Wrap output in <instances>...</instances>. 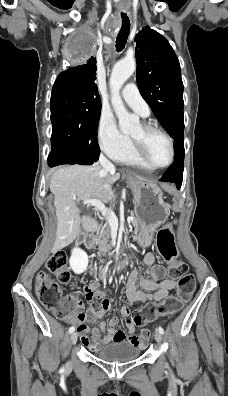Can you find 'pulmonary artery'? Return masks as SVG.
Returning a JSON list of instances; mask_svg holds the SVG:
<instances>
[{
    "label": "pulmonary artery",
    "instance_id": "obj_1",
    "mask_svg": "<svg viewBox=\"0 0 228 396\" xmlns=\"http://www.w3.org/2000/svg\"><path fill=\"white\" fill-rule=\"evenodd\" d=\"M121 95L124 101L140 115L146 117L150 114V108L135 83L126 84Z\"/></svg>",
    "mask_w": 228,
    "mask_h": 396
}]
</instances>
